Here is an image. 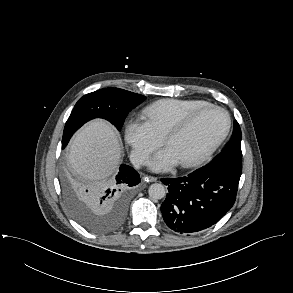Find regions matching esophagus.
Masks as SVG:
<instances>
[{
  "label": "esophagus",
  "instance_id": "1",
  "mask_svg": "<svg viewBox=\"0 0 293 293\" xmlns=\"http://www.w3.org/2000/svg\"><path fill=\"white\" fill-rule=\"evenodd\" d=\"M145 181H150V182H156L157 181V177L154 176H145L144 177Z\"/></svg>",
  "mask_w": 293,
  "mask_h": 293
}]
</instances>
